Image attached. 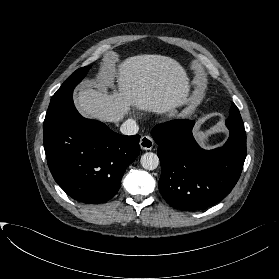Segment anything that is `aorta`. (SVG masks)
<instances>
[{
    "instance_id": "1",
    "label": "aorta",
    "mask_w": 279,
    "mask_h": 279,
    "mask_svg": "<svg viewBox=\"0 0 279 279\" xmlns=\"http://www.w3.org/2000/svg\"><path fill=\"white\" fill-rule=\"evenodd\" d=\"M140 163L146 170H154L159 165V158L157 154L153 152H146L141 156Z\"/></svg>"
}]
</instances>
